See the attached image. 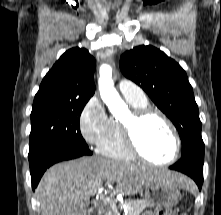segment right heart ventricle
Wrapping results in <instances>:
<instances>
[{
    "instance_id": "right-heart-ventricle-1",
    "label": "right heart ventricle",
    "mask_w": 221,
    "mask_h": 215,
    "mask_svg": "<svg viewBox=\"0 0 221 215\" xmlns=\"http://www.w3.org/2000/svg\"><path fill=\"white\" fill-rule=\"evenodd\" d=\"M133 108L147 106V101H135L126 99ZM98 152L106 157L119 160L131 161L134 156L127 150L121 128V121L116 118H110L109 131L104 140L98 144Z\"/></svg>"
}]
</instances>
